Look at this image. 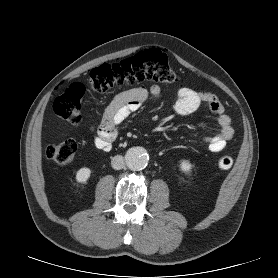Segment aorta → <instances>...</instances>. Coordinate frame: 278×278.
Segmentation results:
<instances>
[{
    "mask_svg": "<svg viewBox=\"0 0 278 278\" xmlns=\"http://www.w3.org/2000/svg\"><path fill=\"white\" fill-rule=\"evenodd\" d=\"M125 160L129 169L139 171L147 166L149 155L144 148L133 147L126 152Z\"/></svg>",
    "mask_w": 278,
    "mask_h": 278,
    "instance_id": "obj_1",
    "label": "aorta"
}]
</instances>
